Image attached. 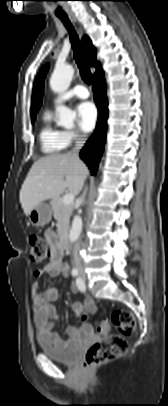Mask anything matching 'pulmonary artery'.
Here are the masks:
<instances>
[{
  "mask_svg": "<svg viewBox=\"0 0 168 406\" xmlns=\"http://www.w3.org/2000/svg\"><path fill=\"white\" fill-rule=\"evenodd\" d=\"M73 97L79 98V99H86L89 97V91L87 90L86 87L82 85H76L72 87L70 90L65 92L63 95H61L57 101H66L68 99H71Z\"/></svg>",
  "mask_w": 168,
  "mask_h": 406,
  "instance_id": "pulmonary-artery-1",
  "label": "pulmonary artery"
}]
</instances>
